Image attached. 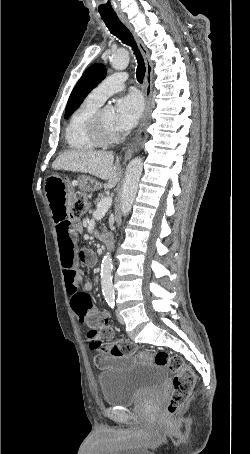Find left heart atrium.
Listing matches in <instances>:
<instances>
[{
	"mask_svg": "<svg viewBox=\"0 0 250 454\" xmlns=\"http://www.w3.org/2000/svg\"><path fill=\"white\" fill-rule=\"evenodd\" d=\"M144 111V99L137 91L120 97L116 103L114 126L117 131L133 128Z\"/></svg>",
	"mask_w": 250,
	"mask_h": 454,
	"instance_id": "1",
	"label": "left heart atrium"
}]
</instances>
